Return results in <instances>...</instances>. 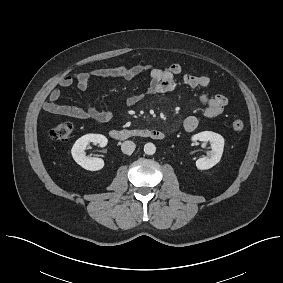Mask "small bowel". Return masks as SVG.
I'll return each mask as SVG.
<instances>
[{
  "instance_id": "small-bowel-1",
  "label": "small bowel",
  "mask_w": 283,
  "mask_h": 283,
  "mask_svg": "<svg viewBox=\"0 0 283 283\" xmlns=\"http://www.w3.org/2000/svg\"><path fill=\"white\" fill-rule=\"evenodd\" d=\"M147 72L150 76V83L145 92L136 93L126 100L127 107L135 106L145 94H164L173 91L181 86L188 89L207 88L211 80L206 75H194L183 73L179 63H173L168 67L160 68L153 64H138L135 66H117L111 68H97L88 72H79L64 76L59 87L53 88L48 100L44 103V110L48 113L69 116L78 119H92L98 122H108L112 118V112L97 109L89 98H86L83 107L61 105L58 103L61 97L60 88H69L76 85L81 91H86L90 84L101 78H122L133 79L140 74ZM200 100L205 104L203 114L206 118L220 116L228 104V98L221 93L202 94ZM199 125V119L188 116L183 122L186 131H194Z\"/></svg>"
}]
</instances>
